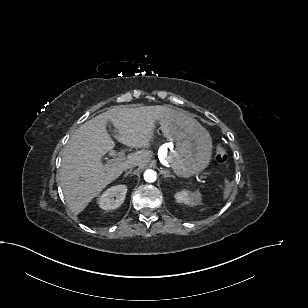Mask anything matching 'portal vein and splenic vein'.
<instances>
[{
    "label": "portal vein and splenic vein",
    "mask_w": 308,
    "mask_h": 308,
    "mask_svg": "<svg viewBox=\"0 0 308 308\" xmlns=\"http://www.w3.org/2000/svg\"><path fill=\"white\" fill-rule=\"evenodd\" d=\"M110 155H115L114 153H112V154H110ZM129 158V155L128 156H125L124 155V152H119L118 153V157L117 158H115V159H112V160H109L108 161V163H113V162H121V161H124V160H126V159H128Z\"/></svg>",
    "instance_id": "portal-vein-and-splenic-vein-1"
}]
</instances>
